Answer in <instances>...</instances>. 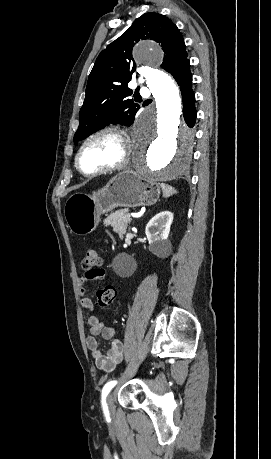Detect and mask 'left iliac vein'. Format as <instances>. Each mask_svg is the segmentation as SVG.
Here are the masks:
<instances>
[{
	"label": "left iliac vein",
	"mask_w": 271,
	"mask_h": 459,
	"mask_svg": "<svg viewBox=\"0 0 271 459\" xmlns=\"http://www.w3.org/2000/svg\"><path fill=\"white\" fill-rule=\"evenodd\" d=\"M106 403H107L108 413L113 414L114 413V397L112 393L107 396Z\"/></svg>",
	"instance_id": "4c4485c4"
}]
</instances>
